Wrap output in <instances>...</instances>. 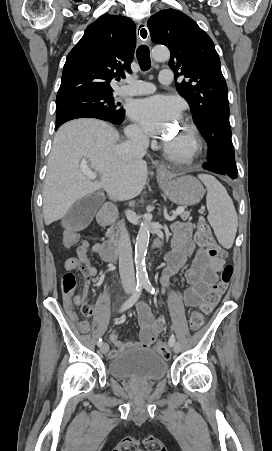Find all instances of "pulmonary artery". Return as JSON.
<instances>
[{"label":"pulmonary artery","instance_id":"obj_1","mask_svg":"<svg viewBox=\"0 0 272 451\" xmlns=\"http://www.w3.org/2000/svg\"><path fill=\"white\" fill-rule=\"evenodd\" d=\"M173 78V71L167 67L160 71L159 81L163 84L171 83ZM155 91V86L148 83L145 79H135L132 84L125 85L124 89L120 90L119 96H138L147 95Z\"/></svg>","mask_w":272,"mask_h":451}]
</instances>
